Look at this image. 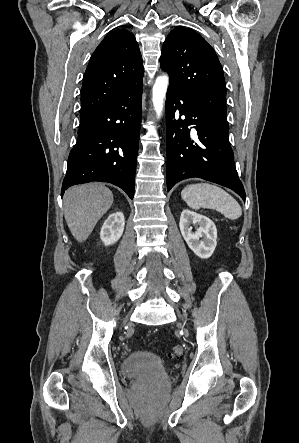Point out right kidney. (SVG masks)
Instances as JSON below:
<instances>
[{
	"instance_id": "ca27d5eb",
	"label": "right kidney",
	"mask_w": 299,
	"mask_h": 443,
	"mask_svg": "<svg viewBox=\"0 0 299 443\" xmlns=\"http://www.w3.org/2000/svg\"><path fill=\"white\" fill-rule=\"evenodd\" d=\"M124 226L125 219L122 212L110 214L101 228L100 238L102 242L106 246L117 242L123 234Z\"/></svg>"
}]
</instances>
